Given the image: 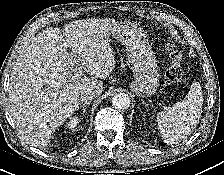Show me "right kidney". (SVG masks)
I'll list each match as a JSON object with an SVG mask.
<instances>
[{"instance_id":"1","label":"right kidney","mask_w":224,"mask_h":175,"mask_svg":"<svg viewBox=\"0 0 224 175\" xmlns=\"http://www.w3.org/2000/svg\"><path fill=\"white\" fill-rule=\"evenodd\" d=\"M79 122H80V119L78 117H76V116L72 117L66 123V128H68L69 130H73Z\"/></svg>"}]
</instances>
